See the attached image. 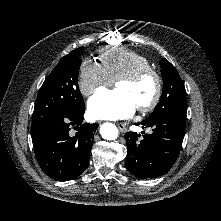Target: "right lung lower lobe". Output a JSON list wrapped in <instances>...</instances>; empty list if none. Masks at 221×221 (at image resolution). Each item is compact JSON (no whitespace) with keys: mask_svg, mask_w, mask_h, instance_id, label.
I'll list each match as a JSON object with an SVG mask.
<instances>
[{"mask_svg":"<svg viewBox=\"0 0 221 221\" xmlns=\"http://www.w3.org/2000/svg\"><path fill=\"white\" fill-rule=\"evenodd\" d=\"M84 111L58 116L32 132L36 159L49 177L68 181L87 167L98 124H83ZM77 130L74 136L70 130Z\"/></svg>","mask_w":221,"mask_h":221,"instance_id":"right-lung-lower-lobe-1","label":"right lung lower lobe"}]
</instances>
